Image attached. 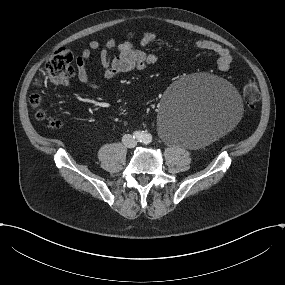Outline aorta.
I'll list each match as a JSON object with an SVG mask.
<instances>
[{
    "label": "aorta",
    "instance_id": "aorta-1",
    "mask_svg": "<svg viewBox=\"0 0 285 285\" xmlns=\"http://www.w3.org/2000/svg\"><path fill=\"white\" fill-rule=\"evenodd\" d=\"M146 137L148 138V140L151 139V135L150 134H146Z\"/></svg>",
    "mask_w": 285,
    "mask_h": 285
}]
</instances>
